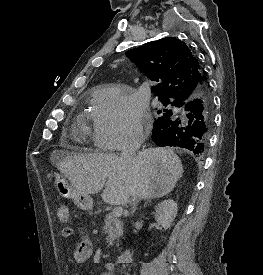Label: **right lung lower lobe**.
<instances>
[{
    "label": "right lung lower lobe",
    "instance_id": "right-lung-lower-lobe-1",
    "mask_svg": "<svg viewBox=\"0 0 263 275\" xmlns=\"http://www.w3.org/2000/svg\"><path fill=\"white\" fill-rule=\"evenodd\" d=\"M181 113L154 122L152 140L158 146L186 148L202 158L212 127V99L208 85L177 101Z\"/></svg>",
    "mask_w": 263,
    "mask_h": 275
}]
</instances>
